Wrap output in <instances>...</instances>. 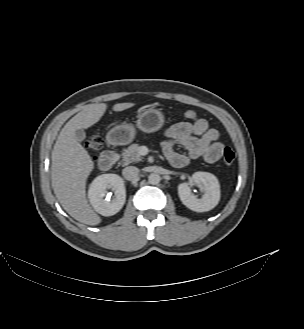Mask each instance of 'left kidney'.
<instances>
[{"instance_id":"1","label":"left kidney","mask_w":304,"mask_h":329,"mask_svg":"<svg viewBox=\"0 0 304 329\" xmlns=\"http://www.w3.org/2000/svg\"><path fill=\"white\" fill-rule=\"evenodd\" d=\"M197 184L204 191L200 198H197L192 191L191 185ZM178 195L181 202L195 212H205L213 209L220 200V185L216 176L208 172H195L191 182H184L178 185Z\"/></svg>"}]
</instances>
